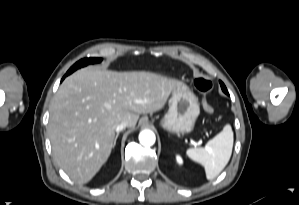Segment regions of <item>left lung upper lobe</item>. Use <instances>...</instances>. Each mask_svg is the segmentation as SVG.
Masks as SVG:
<instances>
[{"label":"left lung upper lobe","instance_id":"left-lung-upper-lobe-1","mask_svg":"<svg viewBox=\"0 0 299 205\" xmlns=\"http://www.w3.org/2000/svg\"><path fill=\"white\" fill-rule=\"evenodd\" d=\"M220 85H221L223 92H227L225 85L221 81H220Z\"/></svg>","mask_w":299,"mask_h":205}]
</instances>
